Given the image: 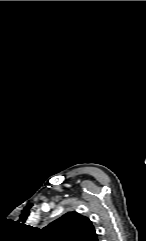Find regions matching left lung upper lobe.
<instances>
[{
	"label": "left lung upper lobe",
	"mask_w": 146,
	"mask_h": 241,
	"mask_svg": "<svg viewBox=\"0 0 146 241\" xmlns=\"http://www.w3.org/2000/svg\"><path fill=\"white\" fill-rule=\"evenodd\" d=\"M47 241H92L97 235L91 221L69 212L43 228Z\"/></svg>",
	"instance_id": "left-lung-upper-lobe-1"
}]
</instances>
